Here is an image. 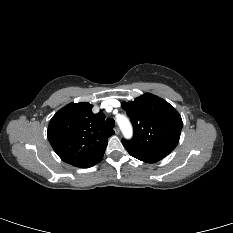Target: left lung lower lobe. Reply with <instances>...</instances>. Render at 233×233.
I'll use <instances>...</instances> for the list:
<instances>
[{
  "mask_svg": "<svg viewBox=\"0 0 233 233\" xmlns=\"http://www.w3.org/2000/svg\"><path fill=\"white\" fill-rule=\"evenodd\" d=\"M127 151L131 156H133L141 161L147 162V163H155V162H157L165 157L164 155H158V154L134 153V152H131L129 150H127Z\"/></svg>",
  "mask_w": 233,
  "mask_h": 233,
  "instance_id": "obj_1",
  "label": "left lung lower lobe"
}]
</instances>
